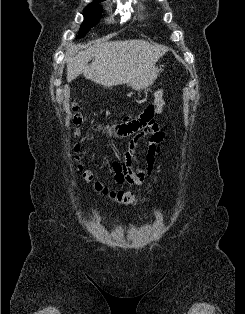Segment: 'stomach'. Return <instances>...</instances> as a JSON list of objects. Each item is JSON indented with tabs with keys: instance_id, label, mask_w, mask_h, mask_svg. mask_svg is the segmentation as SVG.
Segmentation results:
<instances>
[{
	"instance_id": "0dacf381",
	"label": "stomach",
	"mask_w": 245,
	"mask_h": 314,
	"mask_svg": "<svg viewBox=\"0 0 245 314\" xmlns=\"http://www.w3.org/2000/svg\"><path fill=\"white\" fill-rule=\"evenodd\" d=\"M159 70L157 68L152 69L147 74L138 77L137 79L128 83V86L132 87V89L141 91L143 89L149 88L158 76Z\"/></svg>"
}]
</instances>
